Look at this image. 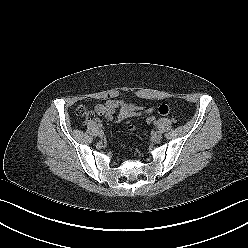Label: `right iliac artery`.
Returning <instances> with one entry per match:
<instances>
[{"instance_id":"82829eb1","label":"right iliac artery","mask_w":248,"mask_h":248,"mask_svg":"<svg viewBox=\"0 0 248 248\" xmlns=\"http://www.w3.org/2000/svg\"><path fill=\"white\" fill-rule=\"evenodd\" d=\"M102 127V124H99V128H101Z\"/></svg>"}]
</instances>
